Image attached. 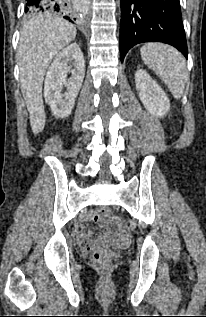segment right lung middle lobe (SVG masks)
Listing matches in <instances>:
<instances>
[{"instance_id": "right-lung-middle-lobe-1", "label": "right lung middle lobe", "mask_w": 206, "mask_h": 317, "mask_svg": "<svg viewBox=\"0 0 206 317\" xmlns=\"http://www.w3.org/2000/svg\"><path fill=\"white\" fill-rule=\"evenodd\" d=\"M38 14H41V12L29 13V14H26V18H32V17H35Z\"/></svg>"}]
</instances>
